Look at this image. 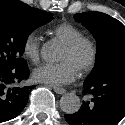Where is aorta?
Returning <instances> with one entry per match:
<instances>
[{"instance_id": "obj_1", "label": "aorta", "mask_w": 125, "mask_h": 125, "mask_svg": "<svg viewBox=\"0 0 125 125\" xmlns=\"http://www.w3.org/2000/svg\"><path fill=\"white\" fill-rule=\"evenodd\" d=\"M60 47L55 41H48L41 48V56L47 62H55L58 60ZM81 106L80 98L74 93L64 94L60 99V107L63 112L73 114L79 110Z\"/></svg>"}]
</instances>
